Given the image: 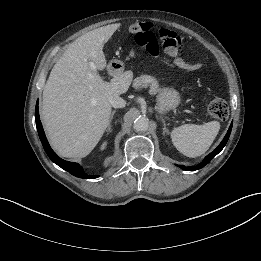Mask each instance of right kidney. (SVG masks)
I'll use <instances>...</instances> for the list:
<instances>
[{
  "mask_svg": "<svg viewBox=\"0 0 261 261\" xmlns=\"http://www.w3.org/2000/svg\"><path fill=\"white\" fill-rule=\"evenodd\" d=\"M106 145H107V143H106V142H104V143L102 144V146H101V150H104V149H105V147H106Z\"/></svg>",
  "mask_w": 261,
  "mask_h": 261,
  "instance_id": "obj_1",
  "label": "right kidney"
}]
</instances>
